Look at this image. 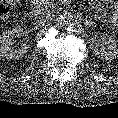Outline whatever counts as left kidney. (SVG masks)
Wrapping results in <instances>:
<instances>
[{
    "instance_id": "obj_1",
    "label": "left kidney",
    "mask_w": 118,
    "mask_h": 118,
    "mask_svg": "<svg viewBox=\"0 0 118 118\" xmlns=\"http://www.w3.org/2000/svg\"><path fill=\"white\" fill-rule=\"evenodd\" d=\"M118 40L108 34L95 35L90 40V48L101 60H113L118 57Z\"/></svg>"
}]
</instances>
